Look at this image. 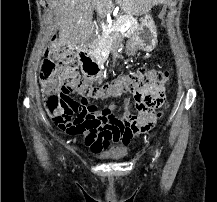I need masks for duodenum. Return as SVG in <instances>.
<instances>
[{"label":"duodenum","mask_w":217,"mask_h":202,"mask_svg":"<svg viewBox=\"0 0 217 202\" xmlns=\"http://www.w3.org/2000/svg\"><path fill=\"white\" fill-rule=\"evenodd\" d=\"M80 63L86 77L93 79L100 75V68L94 58L92 47H87L82 51Z\"/></svg>","instance_id":"1"}]
</instances>
